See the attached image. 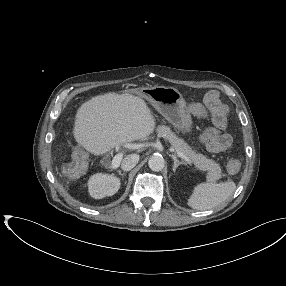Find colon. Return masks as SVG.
I'll return each instance as SVG.
<instances>
[{"mask_svg": "<svg viewBox=\"0 0 286 286\" xmlns=\"http://www.w3.org/2000/svg\"><path fill=\"white\" fill-rule=\"evenodd\" d=\"M205 102L215 112L220 111L219 101L217 100L216 96L213 93H209L205 97ZM239 162L236 160H232L228 164V169L230 172L235 173L239 170Z\"/></svg>", "mask_w": 286, "mask_h": 286, "instance_id": "colon-1", "label": "colon"}]
</instances>
